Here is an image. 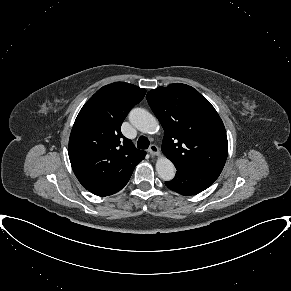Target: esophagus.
Here are the masks:
<instances>
[{
	"mask_svg": "<svg viewBox=\"0 0 291 291\" xmlns=\"http://www.w3.org/2000/svg\"><path fill=\"white\" fill-rule=\"evenodd\" d=\"M148 152H149L152 156H158V155H160L159 148H158L155 144H152V145L150 146V148L148 149Z\"/></svg>",
	"mask_w": 291,
	"mask_h": 291,
	"instance_id": "obj_1",
	"label": "esophagus"
}]
</instances>
